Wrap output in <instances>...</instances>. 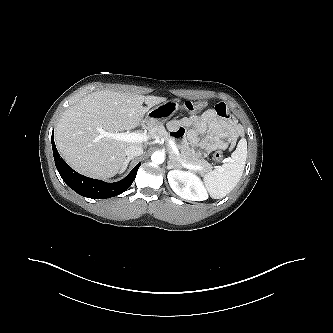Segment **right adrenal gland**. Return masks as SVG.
I'll return each mask as SVG.
<instances>
[{"label": "right adrenal gland", "mask_w": 333, "mask_h": 333, "mask_svg": "<svg viewBox=\"0 0 333 333\" xmlns=\"http://www.w3.org/2000/svg\"><path fill=\"white\" fill-rule=\"evenodd\" d=\"M134 159L133 157H128L127 159H125V162H124V165H123V168L126 169L129 162Z\"/></svg>", "instance_id": "1"}]
</instances>
